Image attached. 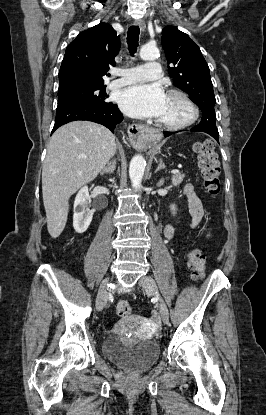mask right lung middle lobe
Listing matches in <instances>:
<instances>
[{
    "instance_id": "dd1d6c3e",
    "label": "right lung middle lobe",
    "mask_w": 266,
    "mask_h": 415,
    "mask_svg": "<svg viewBox=\"0 0 266 415\" xmlns=\"http://www.w3.org/2000/svg\"><path fill=\"white\" fill-rule=\"evenodd\" d=\"M107 98L108 96L105 93V86L102 85L58 93V104L90 103L105 106L111 103L106 100Z\"/></svg>"
}]
</instances>
